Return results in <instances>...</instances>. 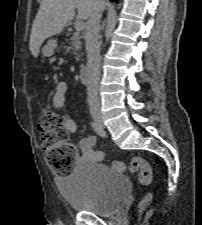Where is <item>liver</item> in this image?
Listing matches in <instances>:
<instances>
[{
	"instance_id": "obj_1",
	"label": "liver",
	"mask_w": 202,
	"mask_h": 225,
	"mask_svg": "<svg viewBox=\"0 0 202 225\" xmlns=\"http://www.w3.org/2000/svg\"><path fill=\"white\" fill-rule=\"evenodd\" d=\"M104 9V0H42L32 25L29 48L37 57L45 39L59 34L64 26L75 16L78 9V20H87L97 5Z\"/></svg>"
}]
</instances>
